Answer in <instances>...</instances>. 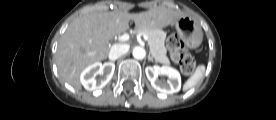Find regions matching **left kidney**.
Returning <instances> with one entry per match:
<instances>
[{
	"instance_id": "5707ae66",
	"label": "left kidney",
	"mask_w": 276,
	"mask_h": 120,
	"mask_svg": "<svg viewBox=\"0 0 276 120\" xmlns=\"http://www.w3.org/2000/svg\"><path fill=\"white\" fill-rule=\"evenodd\" d=\"M146 76L152 87L157 91L165 94H173L180 90L181 76L180 73L169 66H148L145 69ZM167 76V82L158 79V75Z\"/></svg>"
}]
</instances>
